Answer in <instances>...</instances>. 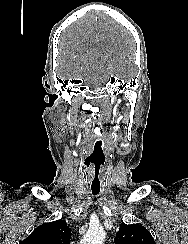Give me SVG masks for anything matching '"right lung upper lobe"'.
<instances>
[{
  "label": "right lung upper lobe",
  "instance_id": "obj_1",
  "mask_svg": "<svg viewBox=\"0 0 188 244\" xmlns=\"http://www.w3.org/2000/svg\"><path fill=\"white\" fill-rule=\"evenodd\" d=\"M71 229L63 220L44 223L38 226L20 244H69Z\"/></svg>",
  "mask_w": 188,
  "mask_h": 244
}]
</instances>
